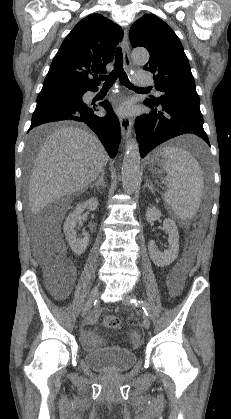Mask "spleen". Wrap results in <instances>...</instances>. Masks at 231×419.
I'll return each instance as SVG.
<instances>
[{"mask_svg": "<svg viewBox=\"0 0 231 419\" xmlns=\"http://www.w3.org/2000/svg\"><path fill=\"white\" fill-rule=\"evenodd\" d=\"M159 155L170 177L164 193L165 203L181 219H191L199 209L203 193V174L197 160L187 150L165 146Z\"/></svg>", "mask_w": 231, "mask_h": 419, "instance_id": "obj_1", "label": "spleen"}]
</instances>
